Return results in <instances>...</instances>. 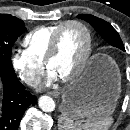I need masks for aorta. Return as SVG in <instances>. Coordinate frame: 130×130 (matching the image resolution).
<instances>
[{
  "instance_id": "aorta-1",
  "label": "aorta",
  "mask_w": 130,
  "mask_h": 130,
  "mask_svg": "<svg viewBox=\"0 0 130 130\" xmlns=\"http://www.w3.org/2000/svg\"><path fill=\"white\" fill-rule=\"evenodd\" d=\"M39 107L44 112H52L55 109V102L49 96H41L39 98Z\"/></svg>"
}]
</instances>
